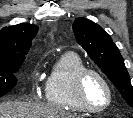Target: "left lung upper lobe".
<instances>
[{
  "label": "left lung upper lobe",
  "instance_id": "5c2ea615",
  "mask_svg": "<svg viewBox=\"0 0 133 118\" xmlns=\"http://www.w3.org/2000/svg\"><path fill=\"white\" fill-rule=\"evenodd\" d=\"M76 40L112 81L124 100L133 107V87L119 49L98 24L76 18L73 23Z\"/></svg>",
  "mask_w": 133,
  "mask_h": 118
}]
</instances>
